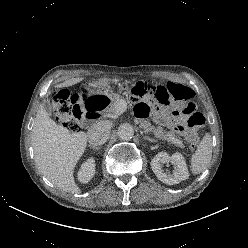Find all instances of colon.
<instances>
[{
  "label": "colon",
  "instance_id": "1",
  "mask_svg": "<svg viewBox=\"0 0 248 248\" xmlns=\"http://www.w3.org/2000/svg\"><path fill=\"white\" fill-rule=\"evenodd\" d=\"M124 88L129 90L132 98L139 104L146 102L163 106L175 105L179 112L188 116L187 127L189 129L188 142L190 148L195 149L197 147L199 138L196 130L204 125L205 119L191 101L193 91L190 88L172 82L166 86L158 87L138 82L132 87L124 85ZM52 104L56 119L68 130H78L84 116V107L78 103L77 98L67 90H57L52 95Z\"/></svg>",
  "mask_w": 248,
  "mask_h": 248
}]
</instances>
